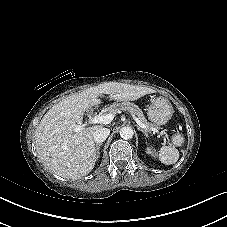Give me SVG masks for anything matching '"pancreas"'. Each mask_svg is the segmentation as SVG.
<instances>
[{
	"instance_id": "1",
	"label": "pancreas",
	"mask_w": 227,
	"mask_h": 227,
	"mask_svg": "<svg viewBox=\"0 0 227 227\" xmlns=\"http://www.w3.org/2000/svg\"><path fill=\"white\" fill-rule=\"evenodd\" d=\"M108 111L114 113H118L120 111H128L136 115L142 123L149 125L151 127H157L155 124L149 123L145 118L142 110L138 106L130 102L123 101L120 103H115L110 108H108Z\"/></svg>"
}]
</instances>
